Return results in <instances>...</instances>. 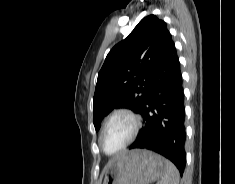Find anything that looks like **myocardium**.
<instances>
[{"label": "myocardium", "instance_id": "obj_1", "mask_svg": "<svg viewBox=\"0 0 235 184\" xmlns=\"http://www.w3.org/2000/svg\"><path fill=\"white\" fill-rule=\"evenodd\" d=\"M119 115H126L132 120L133 130H132L131 135L127 139V141L123 144V146L117 152H115L113 154H108L102 148L101 138H102V135H103L104 131L106 130V128L111 124V122L114 120V118ZM141 126H142V119H141L140 115L136 111H134L132 108L121 106V107H117V108L113 109L105 118V121L103 122V125H102L101 130L98 135V145H99L101 152L104 155L110 156V157L120 155L136 140V138L138 137V135L140 133Z\"/></svg>", "mask_w": 235, "mask_h": 184}]
</instances>
